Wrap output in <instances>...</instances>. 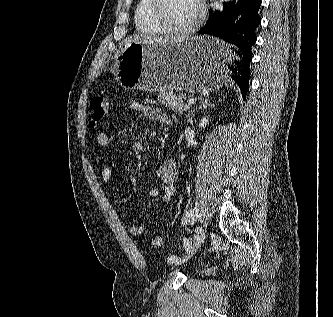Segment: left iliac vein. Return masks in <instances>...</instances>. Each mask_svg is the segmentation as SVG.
Listing matches in <instances>:
<instances>
[{
	"label": "left iliac vein",
	"instance_id": "1",
	"mask_svg": "<svg viewBox=\"0 0 333 317\" xmlns=\"http://www.w3.org/2000/svg\"><path fill=\"white\" fill-rule=\"evenodd\" d=\"M206 237H207V230L203 227H198L195 231L193 243L191 245L189 253L182 259L175 262V265L181 264L185 262L188 258H190L197 251V249L200 247V245L203 243Z\"/></svg>",
	"mask_w": 333,
	"mask_h": 317
}]
</instances>
